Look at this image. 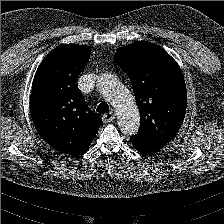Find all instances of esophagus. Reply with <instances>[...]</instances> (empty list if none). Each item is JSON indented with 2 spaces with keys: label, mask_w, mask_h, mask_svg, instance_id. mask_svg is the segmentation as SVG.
Wrapping results in <instances>:
<instances>
[{
  "label": "esophagus",
  "mask_w": 224,
  "mask_h": 224,
  "mask_svg": "<svg viewBox=\"0 0 224 224\" xmlns=\"http://www.w3.org/2000/svg\"><path fill=\"white\" fill-rule=\"evenodd\" d=\"M115 119V114L113 113H106L102 116V120L104 123H108V122H111L112 120Z\"/></svg>",
  "instance_id": "34e87169"
}]
</instances>
